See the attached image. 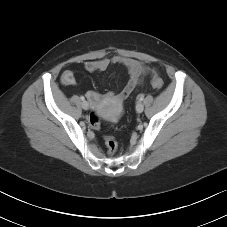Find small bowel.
<instances>
[{
  "label": "small bowel",
  "mask_w": 227,
  "mask_h": 227,
  "mask_svg": "<svg viewBox=\"0 0 227 227\" xmlns=\"http://www.w3.org/2000/svg\"><path fill=\"white\" fill-rule=\"evenodd\" d=\"M117 64L124 66L127 70L129 75L127 83L119 93L108 92L103 95L95 91H88L86 96L93 104H99L104 100L118 102L124 101L141 83L144 76L152 72L144 63L118 55L113 56L112 58L85 61L83 63V68L91 73L104 72L110 66ZM60 81L63 85H74L76 82L74 72L71 70H65L60 76Z\"/></svg>",
  "instance_id": "small-bowel-1"
}]
</instances>
